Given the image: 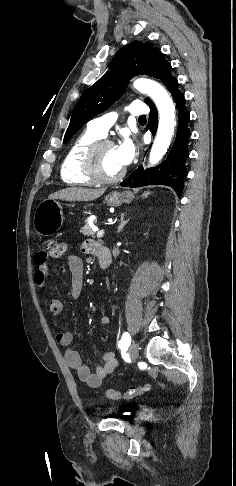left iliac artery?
Masks as SVG:
<instances>
[{
  "instance_id": "left-iliac-artery-1",
  "label": "left iliac artery",
  "mask_w": 236,
  "mask_h": 486,
  "mask_svg": "<svg viewBox=\"0 0 236 486\" xmlns=\"http://www.w3.org/2000/svg\"><path fill=\"white\" fill-rule=\"evenodd\" d=\"M131 344V336L128 332H125L123 335H122V338L121 340L118 342V346L120 348H124V347H129Z\"/></svg>"
}]
</instances>
